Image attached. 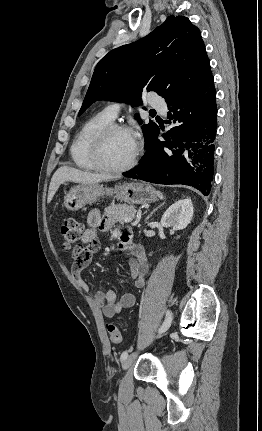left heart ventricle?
Returning <instances> with one entry per match:
<instances>
[{
  "label": "left heart ventricle",
  "instance_id": "obj_1",
  "mask_svg": "<svg viewBox=\"0 0 262 431\" xmlns=\"http://www.w3.org/2000/svg\"><path fill=\"white\" fill-rule=\"evenodd\" d=\"M136 144L128 132H115L108 137L104 147L106 162L114 167L126 164L134 154Z\"/></svg>",
  "mask_w": 262,
  "mask_h": 431
}]
</instances>
